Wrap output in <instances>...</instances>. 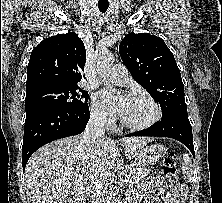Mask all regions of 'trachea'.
Segmentation results:
<instances>
[{"instance_id":"3493384b","label":"trachea","mask_w":222,"mask_h":203,"mask_svg":"<svg viewBox=\"0 0 222 203\" xmlns=\"http://www.w3.org/2000/svg\"><path fill=\"white\" fill-rule=\"evenodd\" d=\"M108 6H109V4H106V5H98L99 11H100L101 13H105V12L107 11V9H108Z\"/></svg>"}]
</instances>
